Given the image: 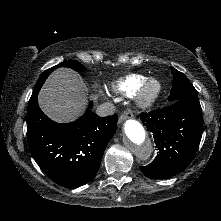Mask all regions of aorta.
<instances>
[{
  "mask_svg": "<svg viewBox=\"0 0 221 221\" xmlns=\"http://www.w3.org/2000/svg\"><path fill=\"white\" fill-rule=\"evenodd\" d=\"M125 143L141 160H147L152 154V143L141 123L128 119L124 124Z\"/></svg>",
  "mask_w": 221,
  "mask_h": 221,
  "instance_id": "762f6f07",
  "label": "aorta"
}]
</instances>
